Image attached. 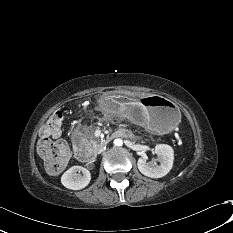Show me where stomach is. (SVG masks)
Segmentation results:
<instances>
[{"instance_id":"1","label":"stomach","mask_w":233,"mask_h":233,"mask_svg":"<svg viewBox=\"0 0 233 233\" xmlns=\"http://www.w3.org/2000/svg\"><path fill=\"white\" fill-rule=\"evenodd\" d=\"M103 108L125 116L131 122L146 126L160 135L170 132L181 117L177 105L160 95H150L138 101L133 97H105Z\"/></svg>"}]
</instances>
